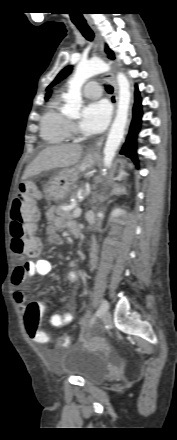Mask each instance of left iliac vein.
Listing matches in <instances>:
<instances>
[{"label": "left iliac vein", "instance_id": "obj_1", "mask_svg": "<svg viewBox=\"0 0 177 440\" xmlns=\"http://www.w3.org/2000/svg\"><path fill=\"white\" fill-rule=\"evenodd\" d=\"M110 321H111V314L107 308V310L102 314V320H101L102 327L108 325Z\"/></svg>", "mask_w": 177, "mask_h": 440}]
</instances>
